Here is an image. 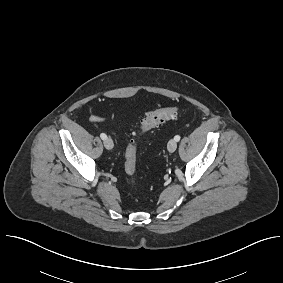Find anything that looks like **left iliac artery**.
I'll return each instance as SVG.
<instances>
[{
	"label": "left iliac artery",
	"instance_id": "obj_1",
	"mask_svg": "<svg viewBox=\"0 0 283 283\" xmlns=\"http://www.w3.org/2000/svg\"><path fill=\"white\" fill-rule=\"evenodd\" d=\"M174 140L179 141V140H180V136H179V135H176V136L174 137Z\"/></svg>",
	"mask_w": 283,
	"mask_h": 283
}]
</instances>
